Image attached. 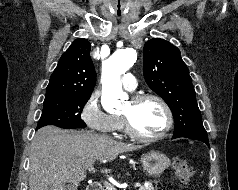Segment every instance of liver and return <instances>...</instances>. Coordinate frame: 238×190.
I'll return each instance as SVG.
<instances>
[{
	"mask_svg": "<svg viewBox=\"0 0 238 190\" xmlns=\"http://www.w3.org/2000/svg\"><path fill=\"white\" fill-rule=\"evenodd\" d=\"M140 148L91 132L45 126L31 143L29 190H63L68 182L83 181L96 160L111 162L121 153ZM110 171L101 169L102 173Z\"/></svg>",
	"mask_w": 238,
	"mask_h": 190,
	"instance_id": "6515ba94",
	"label": "liver"
}]
</instances>
